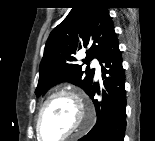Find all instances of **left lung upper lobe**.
I'll return each instance as SVG.
<instances>
[{
  "instance_id": "left-lung-upper-lobe-1",
  "label": "left lung upper lobe",
  "mask_w": 155,
  "mask_h": 141,
  "mask_svg": "<svg viewBox=\"0 0 155 141\" xmlns=\"http://www.w3.org/2000/svg\"><path fill=\"white\" fill-rule=\"evenodd\" d=\"M104 0H75L68 16L50 33L40 63L39 81L35 94L45 93L61 81H69L88 93L92 87L94 69L81 71L75 54L86 49V58L100 59L115 35L113 22ZM88 59L83 60L84 63ZM115 98L112 99V101ZM119 100L112 102L117 110Z\"/></svg>"
}]
</instances>
